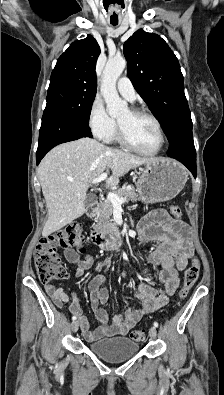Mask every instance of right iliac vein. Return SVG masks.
Masks as SVG:
<instances>
[{
    "label": "right iliac vein",
    "instance_id": "obj_1",
    "mask_svg": "<svg viewBox=\"0 0 224 395\" xmlns=\"http://www.w3.org/2000/svg\"><path fill=\"white\" fill-rule=\"evenodd\" d=\"M78 328H79V322L78 321H73L72 324H71L72 332H77Z\"/></svg>",
    "mask_w": 224,
    "mask_h": 395
}]
</instances>
